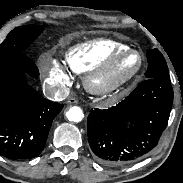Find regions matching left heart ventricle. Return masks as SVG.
Instances as JSON below:
<instances>
[{
	"label": "left heart ventricle",
	"mask_w": 183,
	"mask_h": 183,
	"mask_svg": "<svg viewBox=\"0 0 183 183\" xmlns=\"http://www.w3.org/2000/svg\"><path fill=\"white\" fill-rule=\"evenodd\" d=\"M139 65V57L135 54H126L121 57L113 68L109 76L102 78L100 84L108 81H119L133 73Z\"/></svg>",
	"instance_id": "b2bd125f"
}]
</instances>
